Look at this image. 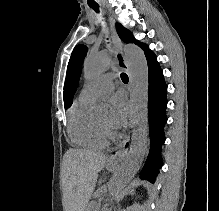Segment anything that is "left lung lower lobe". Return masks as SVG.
I'll return each mask as SVG.
<instances>
[{
	"instance_id": "obj_1",
	"label": "left lung lower lobe",
	"mask_w": 219,
	"mask_h": 211,
	"mask_svg": "<svg viewBox=\"0 0 219 211\" xmlns=\"http://www.w3.org/2000/svg\"><path fill=\"white\" fill-rule=\"evenodd\" d=\"M149 71V87H148V116H149V133H150V152L146 163L140 172L143 180L155 181V176L162 166V158L160 156V146L165 142L164 125L167 121L166 117V92L167 85L164 81L163 72L157 62L154 53L150 52L146 55Z\"/></svg>"
}]
</instances>
